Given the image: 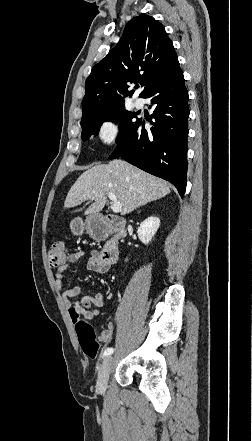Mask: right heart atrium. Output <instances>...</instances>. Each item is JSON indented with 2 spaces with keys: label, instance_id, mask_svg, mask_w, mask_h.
<instances>
[{
  "label": "right heart atrium",
  "instance_id": "right-heart-atrium-1",
  "mask_svg": "<svg viewBox=\"0 0 252 441\" xmlns=\"http://www.w3.org/2000/svg\"><path fill=\"white\" fill-rule=\"evenodd\" d=\"M119 125L112 120L103 121L97 132L99 142L104 146L113 145L119 136Z\"/></svg>",
  "mask_w": 252,
  "mask_h": 441
}]
</instances>
